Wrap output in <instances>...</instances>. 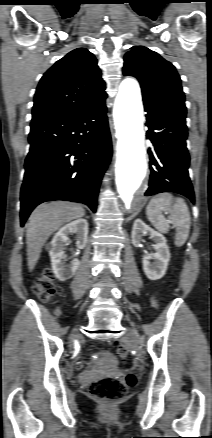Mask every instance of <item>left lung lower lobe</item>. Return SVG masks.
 <instances>
[{
    "mask_svg": "<svg viewBox=\"0 0 212 438\" xmlns=\"http://www.w3.org/2000/svg\"><path fill=\"white\" fill-rule=\"evenodd\" d=\"M147 112V138L151 141L150 183L145 195L175 192L194 202L190 182L189 154L186 148V115L144 104Z\"/></svg>",
    "mask_w": 212,
    "mask_h": 438,
    "instance_id": "left-lung-lower-lobe-1",
    "label": "left lung lower lobe"
}]
</instances>
